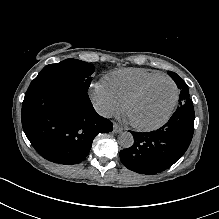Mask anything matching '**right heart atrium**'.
Returning a JSON list of instances; mask_svg holds the SVG:
<instances>
[{"mask_svg":"<svg viewBox=\"0 0 219 219\" xmlns=\"http://www.w3.org/2000/svg\"><path fill=\"white\" fill-rule=\"evenodd\" d=\"M90 97L98 113L104 117L117 116L123 111V105L112 94L105 82L94 84L90 90Z\"/></svg>","mask_w":219,"mask_h":219,"instance_id":"1","label":"right heart atrium"}]
</instances>
